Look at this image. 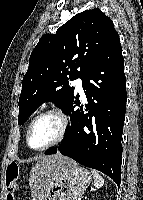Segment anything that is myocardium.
I'll list each match as a JSON object with an SVG mask.
<instances>
[{"label": "myocardium", "mask_w": 143, "mask_h": 200, "mask_svg": "<svg viewBox=\"0 0 143 200\" xmlns=\"http://www.w3.org/2000/svg\"><path fill=\"white\" fill-rule=\"evenodd\" d=\"M55 116L59 119L60 123H61V129H60V132L59 134L57 135V137L51 141L50 143H48L47 145L45 146H42L40 148H34L30 145V142H29V135H30V130L33 126V124L39 120L40 118L42 117H45V116ZM69 126H70V120H69V117L68 115L60 108H50V109H47L41 113H39L38 115H36L31 121L30 123L28 124L27 126V130H26V134H25V140H26V144L27 146L32 149V150H35V151H44V150H47L57 144H59L61 141H63V139L65 138V136L67 135V132L69 130Z\"/></svg>", "instance_id": "obj_1"}]
</instances>
